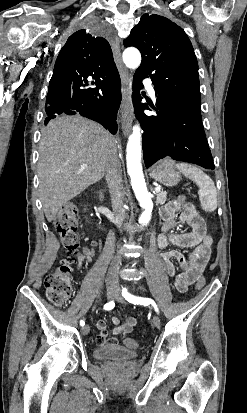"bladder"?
Listing matches in <instances>:
<instances>
[{
  "label": "bladder",
  "instance_id": "1",
  "mask_svg": "<svg viewBox=\"0 0 247 413\" xmlns=\"http://www.w3.org/2000/svg\"><path fill=\"white\" fill-rule=\"evenodd\" d=\"M137 352L131 351L127 348H119L111 345L102 347H95L94 356L96 360L102 359H118V360H130L135 358Z\"/></svg>",
  "mask_w": 247,
  "mask_h": 413
}]
</instances>
